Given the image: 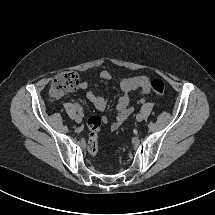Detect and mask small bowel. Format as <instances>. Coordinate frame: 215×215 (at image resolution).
I'll return each instance as SVG.
<instances>
[{
  "label": "small bowel",
  "instance_id": "obj_1",
  "mask_svg": "<svg viewBox=\"0 0 215 215\" xmlns=\"http://www.w3.org/2000/svg\"><path fill=\"white\" fill-rule=\"evenodd\" d=\"M97 77L102 81H111L113 79L111 73L107 70L100 71ZM119 86L123 95L119 98L116 106L117 116L116 121L111 124L112 131L118 130L133 111L129 93L131 91H139L142 94H148L150 92V80L146 76L122 78L119 81ZM80 88L85 91L87 99L94 105L96 110H105L108 102L106 98L94 92L87 82H82ZM103 121L106 122L107 119L104 117Z\"/></svg>",
  "mask_w": 215,
  "mask_h": 215
}]
</instances>
